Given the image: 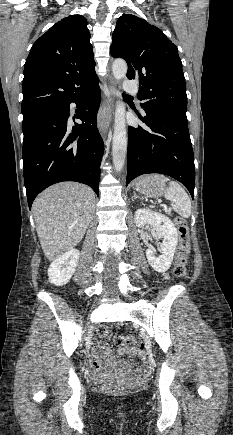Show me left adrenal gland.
Masks as SVG:
<instances>
[{"label": "left adrenal gland", "instance_id": "obj_1", "mask_svg": "<svg viewBox=\"0 0 233 435\" xmlns=\"http://www.w3.org/2000/svg\"><path fill=\"white\" fill-rule=\"evenodd\" d=\"M138 198V196L136 195V192L134 191V195H133V197H132V200L134 201L135 199H137Z\"/></svg>", "mask_w": 233, "mask_h": 435}]
</instances>
